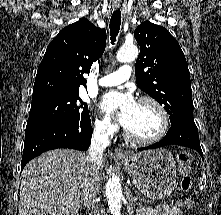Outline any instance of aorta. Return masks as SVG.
<instances>
[{
  "label": "aorta",
  "instance_id": "aorta-1",
  "mask_svg": "<svg viewBox=\"0 0 221 215\" xmlns=\"http://www.w3.org/2000/svg\"><path fill=\"white\" fill-rule=\"evenodd\" d=\"M139 51L135 45L123 46L117 52L116 59L119 62H132L138 57ZM106 197L112 215H120L121 200L123 198L122 188L116 177L109 178L106 183Z\"/></svg>",
  "mask_w": 221,
  "mask_h": 215
}]
</instances>
